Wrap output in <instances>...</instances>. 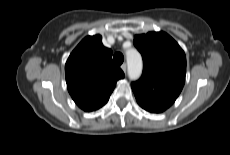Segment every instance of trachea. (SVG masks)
<instances>
[{"label": "trachea", "instance_id": "trachea-1", "mask_svg": "<svg viewBox=\"0 0 230 155\" xmlns=\"http://www.w3.org/2000/svg\"><path fill=\"white\" fill-rule=\"evenodd\" d=\"M113 60H114L115 64L121 65L123 63V61H124V56H123L122 53L117 52V53L114 54Z\"/></svg>", "mask_w": 230, "mask_h": 155}]
</instances>
